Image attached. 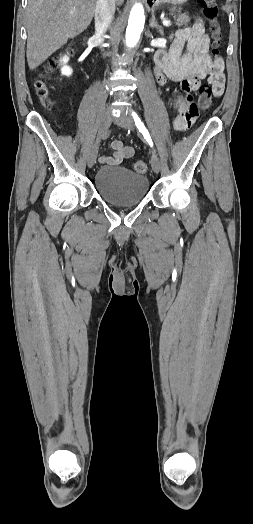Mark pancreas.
<instances>
[{"mask_svg": "<svg viewBox=\"0 0 253 524\" xmlns=\"http://www.w3.org/2000/svg\"><path fill=\"white\" fill-rule=\"evenodd\" d=\"M171 15H173L174 19L176 20L177 26H183L187 25L190 21V18L186 13H181V11L177 10L175 7L170 9Z\"/></svg>", "mask_w": 253, "mask_h": 524, "instance_id": "obj_1", "label": "pancreas"}]
</instances>
